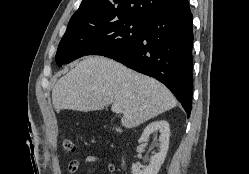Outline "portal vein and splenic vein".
<instances>
[{"label": "portal vein and splenic vein", "mask_w": 249, "mask_h": 174, "mask_svg": "<svg viewBox=\"0 0 249 174\" xmlns=\"http://www.w3.org/2000/svg\"><path fill=\"white\" fill-rule=\"evenodd\" d=\"M111 110L112 112L118 113V114L123 112L118 104H113L111 107Z\"/></svg>", "instance_id": "1"}]
</instances>
